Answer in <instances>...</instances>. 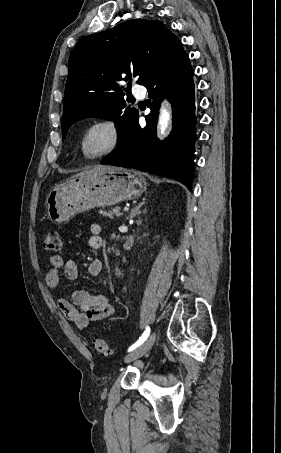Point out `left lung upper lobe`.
<instances>
[{
  "mask_svg": "<svg viewBox=\"0 0 281 453\" xmlns=\"http://www.w3.org/2000/svg\"><path fill=\"white\" fill-rule=\"evenodd\" d=\"M174 37L158 20L136 19L82 38L69 58L62 139L74 122L96 116L115 121L119 144L138 112L126 108L123 88L117 81L130 84L133 77H138L137 83L144 85Z\"/></svg>",
  "mask_w": 281,
  "mask_h": 453,
  "instance_id": "5c2ea615",
  "label": "left lung upper lobe"
}]
</instances>
